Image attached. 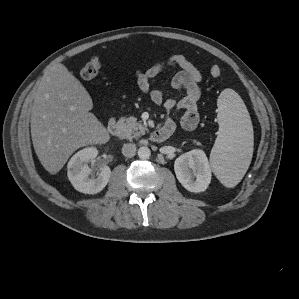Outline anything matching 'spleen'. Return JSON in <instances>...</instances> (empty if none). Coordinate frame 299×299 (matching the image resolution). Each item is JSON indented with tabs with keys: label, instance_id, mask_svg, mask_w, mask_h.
<instances>
[{
	"label": "spleen",
	"instance_id": "1",
	"mask_svg": "<svg viewBox=\"0 0 299 299\" xmlns=\"http://www.w3.org/2000/svg\"><path fill=\"white\" fill-rule=\"evenodd\" d=\"M219 135L210 154L214 174L227 188L235 187L244 177L253 154V128L241 97L225 89L218 101Z\"/></svg>",
	"mask_w": 299,
	"mask_h": 299
}]
</instances>
